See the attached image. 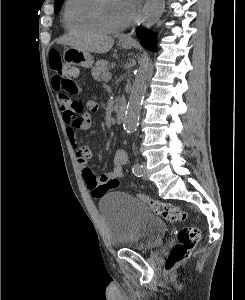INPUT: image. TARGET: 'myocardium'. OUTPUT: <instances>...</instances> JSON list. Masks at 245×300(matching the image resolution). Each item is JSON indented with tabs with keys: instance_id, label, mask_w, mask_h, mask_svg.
I'll list each match as a JSON object with an SVG mask.
<instances>
[{
	"instance_id": "myocardium-1",
	"label": "myocardium",
	"mask_w": 245,
	"mask_h": 300,
	"mask_svg": "<svg viewBox=\"0 0 245 300\" xmlns=\"http://www.w3.org/2000/svg\"><path fill=\"white\" fill-rule=\"evenodd\" d=\"M101 3L102 0H93V3L91 5V18L96 27L101 31L105 33H116L123 29H125L127 26L131 24V22L134 20V16L130 17L126 22H124L121 25L118 26H108L102 19L101 16Z\"/></svg>"
}]
</instances>
